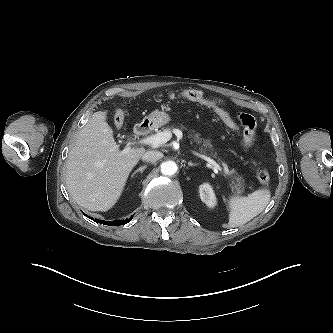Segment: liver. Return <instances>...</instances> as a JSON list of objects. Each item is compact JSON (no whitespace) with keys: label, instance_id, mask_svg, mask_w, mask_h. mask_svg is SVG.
<instances>
[{"label":"liver","instance_id":"liver-1","mask_svg":"<svg viewBox=\"0 0 333 333\" xmlns=\"http://www.w3.org/2000/svg\"><path fill=\"white\" fill-rule=\"evenodd\" d=\"M107 111L95 112L78 133L66 162L65 179L72 199L90 211H108L120 198L144 148L122 151L106 122Z\"/></svg>","mask_w":333,"mask_h":333}]
</instances>
